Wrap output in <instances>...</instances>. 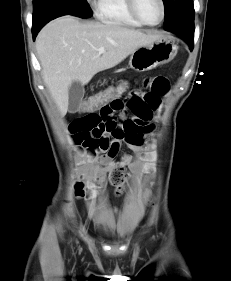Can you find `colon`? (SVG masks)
Segmentation results:
<instances>
[{"instance_id": "obj_1", "label": "colon", "mask_w": 231, "mask_h": 281, "mask_svg": "<svg viewBox=\"0 0 231 281\" xmlns=\"http://www.w3.org/2000/svg\"><path fill=\"white\" fill-rule=\"evenodd\" d=\"M127 92V88L120 85H114L107 89L91 96L89 99L83 102L81 109L82 111L93 112L103 106L109 104L116 98L121 97ZM108 180L110 184L115 188L117 194H120L126 187L128 181V174L124 167L118 166L108 171ZM103 178H98L97 183H101ZM77 195L84 193L83 186L78 184L76 186Z\"/></svg>"}]
</instances>
